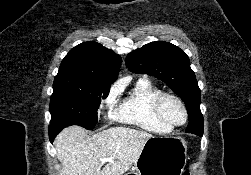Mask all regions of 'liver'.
Masks as SVG:
<instances>
[{
  "label": "liver",
  "mask_w": 251,
  "mask_h": 175,
  "mask_svg": "<svg viewBox=\"0 0 251 175\" xmlns=\"http://www.w3.org/2000/svg\"><path fill=\"white\" fill-rule=\"evenodd\" d=\"M152 137L130 127H109L88 135L84 127L71 125L55 137L61 175H122L135 163L143 145ZM102 157H112L102 167Z\"/></svg>",
  "instance_id": "6515ba94"
}]
</instances>
